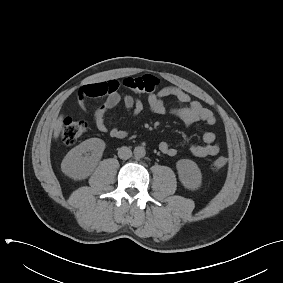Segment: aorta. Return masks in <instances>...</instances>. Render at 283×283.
Instances as JSON below:
<instances>
[{
	"label": "aorta",
	"instance_id": "1",
	"mask_svg": "<svg viewBox=\"0 0 283 283\" xmlns=\"http://www.w3.org/2000/svg\"><path fill=\"white\" fill-rule=\"evenodd\" d=\"M133 153L136 158H143L146 155V150L143 146H137Z\"/></svg>",
	"mask_w": 283,
	"mask_h": 283
}]
</instances>
